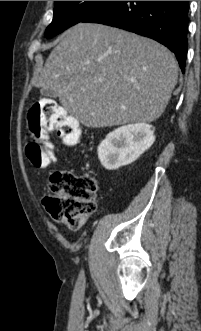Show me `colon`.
Returning a JSON list of instances; mask_svg holds the SVG:
<instances>
[{
  "instance_id": "obj_1",
  "label": "colon",
  "mask_w": 201,
  "mask_h": 331,
  "mask_svg": "<svg viewBox=\"0 0 201 331\" xmlns=\"http://www.w3.org/2000/svg\"><path fill=\"white\" fill-rule=\"evenodd\" d=\"M31 139L25 152L36 167H46L53 161V147L46 134L55 130L64 142L76 145L81 131L78 122L52 99H41L28 113ZM51 194L43 199L50 216L71 229H80L96 209V180L77 176L68 171H58L50 178Z\"/></svg>"
}]
</instances>
